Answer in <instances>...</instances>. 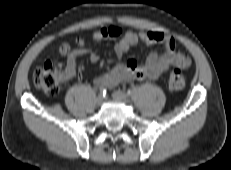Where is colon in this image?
Returning a JSON list of instances; mask_svg holds the SVG:
<instances>
[{"label": "colon", "mask_w": 231, "mask_h": 170, "mask_svg": "<svg viewBox=\"0 0 231 170\" xmlns=\"http://www.w3.org/2000/svg\"><path fill=\"white\" fill-rule=\"evenodd\" d=\"M69 49L68 45L61 48L63 53ZM64 77V70L57 67L53 62L48 61L38 68L33 74L35 86L47 96H55L60 90V83ZM185 86V79L180 68H174L168 78V88L172 92L180 91Z\"/></svg>", "instance_id": "1"}]
</instances>
